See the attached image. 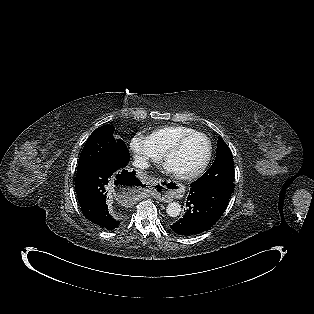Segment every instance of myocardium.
I'll use <instances>...</instances> for the list:
<instances>
[{
  "label": "myocardium",
  "mask_w": 314,
  "mask_h": 314,
  "mask_svg": "<svg viewBox=\"0 0 314 314\" xmlns=\"http://www.w3.org/2000/svg\"><path fill=\"white\" fill-rule=\"evenodd\" d=\"M194 136H202L206 139L207 143H208V155L207 158L205 160V162L196 170L189 172V173H176V172H170L171 174H173L175 177L179 178V179H183V180H192V179H196L198 177H200L201 175H203L208 167L210 166L212 159H213V152H214V147H213V142L211 140V138L204 132L201 131H193L189 134H186L184 136H182L181 138H179L163 155L162 157V163H163V167L166 170V168L168 167V163L169 160L172 156H174L175 154H177L181 148L183 147L184 143L194 137Z\"/></svg>",
  "instance_id": "1"
}]
</instances>
